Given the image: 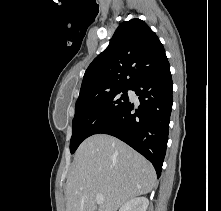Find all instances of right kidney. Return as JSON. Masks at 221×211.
Instances as JSON below:
<instances>
[{"instance_id":"obj_1","label":"right kidney","mask_w":221,"mask_h":211,"mask_svg":"<svg viewBox=\"0 0 221 211\" xmlns=\"http://www.w3.org/2000/svg\"><path fill=\"white\" fill-rule=\"evenodd\" d=\"M149 201L146 197H137L127 201L119 211H146Z\"/></svg>"}]
</instances>
